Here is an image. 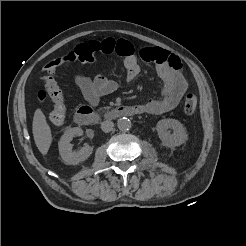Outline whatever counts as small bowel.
Masks as SVG:
<instances>
[{
	"label": "small bowel",
	"instance_id": "obj_1",
	"mask_svg": "<svg viewBox=\"0 0 246 246\" xmlns=\"http://www.w3.org/2000/svg\"><path fill=\"white\" fill-rule=\"evenodd\" d=\"M81 46L90 49L93 54H117L124 58L126 80L133 81L140 73V66L133 45L124 39L106 38L100 41L91 40ZM139 56L146 62L155 65L156 73L163 81L162 96L159 99L150 98L139 105L142 113L162 115L177 107L187 90V82L183 75V66L180 59L161 48H144ZM76 85L81 90L90 106L98 105L101 97L111 94L118 88V83L103 74L93 79L76 74Z\"/></svg>",
	"mask_w": 246,
	"mask_h": 246
}]
</instances>
